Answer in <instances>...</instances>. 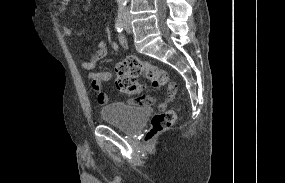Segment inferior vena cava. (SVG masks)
<instances>
[{"mask_svg": "<svg viewBox=\"0 0 285 183\" xmlns=\"http://www.w3.org/2000/svg\"><path fill=\"white\" fill-rule=\"evenodd\" d=\"M121 14L124 16L128 15V9L126 7L121 8Z\"/></svg>", "mask_w": 285, "mask_h": 183, "instance_id": "1", "label": "inferior vena cava"}]
</instances>
